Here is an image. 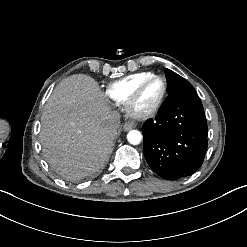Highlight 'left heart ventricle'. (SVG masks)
Listing matches in <instances>:
<instances>
[{
	"label": "left heart ventricle",
	"instance_id": "b2bd125f",
	"mask_svg": "<svg viewBox=\"0 0 247 247\" xmlns=\"http://www.w3.org/2000/svg\"><path fill=\"white\" fill-rule=\"evenodd\" d=\"M164 90L163 82L157 79L150 80L141 89L136 108L147 110L153 107L161 98Z\"/></svg>",
	"mask_w": 247,
	"mask_h": 247
}]
</instances>
